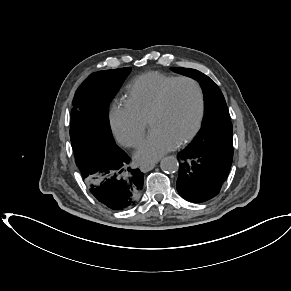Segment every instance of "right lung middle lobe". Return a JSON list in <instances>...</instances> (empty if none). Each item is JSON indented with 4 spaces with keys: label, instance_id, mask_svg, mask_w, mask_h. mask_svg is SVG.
<instances>
[{
    "label": "right lung middle lobe",
    "instance_id": "1",
    "mask_svg": "<svg viewBox=\"0 0 291 291\" xmlns=\"http://www.w3.org/2000/svg\"><path fill=\"white\" fill-rule=\"evenodd\" d=\"M130 68L92 73L77 89L71 111L70 139L78 167L101 155L116 153L109 123V104Z\"/></svg>",
    "mask_w": 291,
    "mask_h": 291
}]
</instances>
